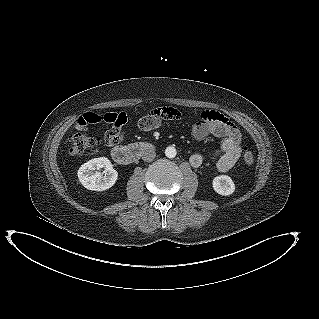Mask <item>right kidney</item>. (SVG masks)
Segmentation results:
<instances>
[{
  "instance_id": "ca27d5eb",
  "label": "right kidney",
  "mask_w": 319,
  "mask_h": 319,
  "mask_svg": "<svg viewBox=\"0 0 319 319\" xmlns=\"http://www.w3.org/2000/svg\"><path fill=\"white\" fill-rule=\"evenodd\" d=\"M101 168H105L103 173L95 171ZM78 178L86 189L104 191L115 184L118 178V172L113 169L110 160L105 157H100L84 163L78 170Z\"/></svg>"
}]
</instances>
